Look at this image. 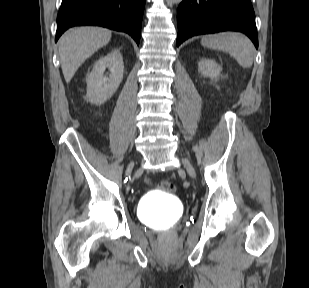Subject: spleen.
<instances>
[{
    "instance_id": "3e777b00",
    "label": "spleen",
    "mask_w": 309,
    "mask_h": 288,
    "mask_svg": "<svg viewBox=\"0 0 309 288\" xmlns=\"http://www.w3.org/2000/svg\"><path fill=\"white\" fill-rule=\"evenodd\" d=\"M201 44L210 49L229 53L243 68H250L253 64V45L240 33L223 32L206 35L202 38Z\"/></svg>"
}]
</instances>
